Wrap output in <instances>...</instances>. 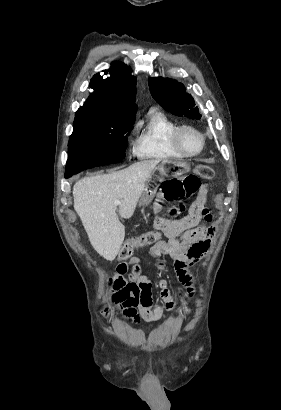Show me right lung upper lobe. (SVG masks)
I'll return each instance as SVG.
<instances>
[{
	"instance_id": "right-lung-upper-lobe-1",
	"label": "right lung upper lobe",
	"mask_w": 281,
	"mask_h": 410,
	"mask_svg": "<svg viewBox=\"0 0 281 410\" xmlns=\"http://www.w3.org/2000/svg\"><path fill=\"white\" fill-rule=\"evenodd\" d=\"M125 64L114 62L103 77L95 74L90 81L93 92L78 110H92L110 117L135 116L136 78Z\"/></svg>"
}]
</instances>
